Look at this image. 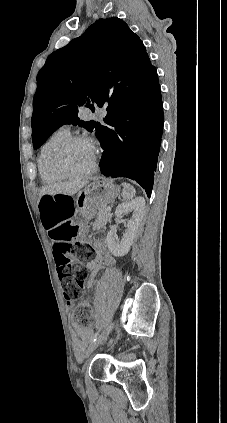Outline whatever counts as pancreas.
Instances as JSON below:
<instances>
[{
  "label": "pancreas",
  "instance_id": "obj_1",
  "mask_svg": "<svg viewBox=\"0 0 227 423\" xmlns=\"http://www.w3.org/2000/svg\"><path fill=\"white\" fill-rule=\"evenodd\" d=\"M106 204L105 206H99V208H97V217L95 219V221H91V225H93V229H100V227H102V225H105L107 219H108V211H106ZM88 223V221H87ZM86 223V227H90V225H87Z\"/></svg>",
  "mask_w": 227,
  "mask_h": 423
}]
</instances>
